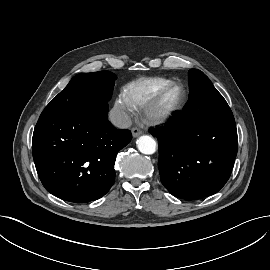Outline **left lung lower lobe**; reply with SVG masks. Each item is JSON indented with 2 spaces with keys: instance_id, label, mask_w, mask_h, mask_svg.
Wrapping results in <instances>:
<instances>
[{
  "instance_id": "0a47b994",
  "label": "left lung lower lobe",
  "mask_w": 270,
  "mask_h": 270,
  "mask_svg": "<svg viewBox=\"0 0 270 270\" xmlns=\"http://www.w3.org/2000/svg\"><path fill=\"white\" fill-rule=\"evenodd\" d=\"M149 132L159 141L160 178L172 195L200 199L228 181L237 155L233 116L201 118L188 101L167 125Z\"/></svg>"
}]
</instances>
